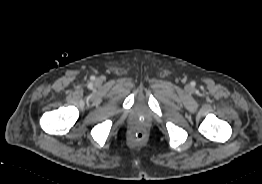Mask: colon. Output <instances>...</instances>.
<instances>
[{"instance_id":"1","label":"colon","mask_w":262,"mask_h":184,"mask_svg":"<svg viewBox=\"0 0 262 184\" xmlns=\"http://www.w3.org/2000/svg\"><path fill=\"white\" fill-rule=\"evenodd\" d=\"M131 138L134 142L141 143L146 139V134L142 128L137 127L132 132Z\"/></svg>"}]
</instances>
